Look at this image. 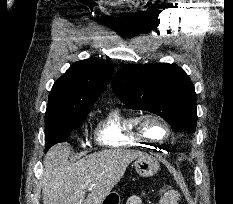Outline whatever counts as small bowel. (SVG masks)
<instances>
[{
	"label": "small bowel",
	"mask_w": 233,
	"mask_h": 204,
	"mask_svg": "<svg viewBox=\"0 0 233 204\" xmlns=\"http://www.w3.org/2000/svg\"><path fill=\"white\" fill-rule=\"evenodd\" d=\"M143 195H133L128 199L127 204H141Z\"/></svg>",
	"instance_id": "obj_1"
}]
</instances>
